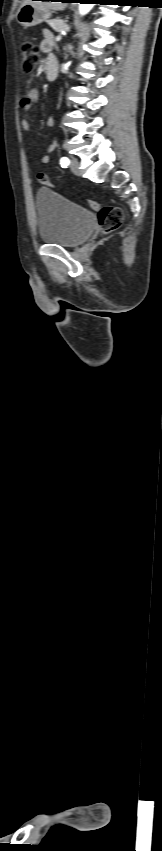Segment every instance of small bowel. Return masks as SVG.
I'll list each match as a JSON object with an SVG mask.
<instances>
[{"mask_svg":"<svg viewBox=\"0 0 162 851\" xmlns=\"http://www.w3.org/2000/svg\"><path fill=\"white\" fill-rule=\"evenodd\" d=\"M52 46H53V38H52V35H51V33H50V32L45 31V33H44V39H43V40H42V42H41V49H42V51H44V52H49V51L52 49ZM48 58H55V56L50 55ZM48 58H47V59H48ZM47 59H46V60H47ZM55 59H56V58H55ZM37 100H38V91H37L36 89H34V88L29 87V88L27 89V91H26L25 95H24V96H23V98L21 99L20 106H21L22 110H24V111H30V110H31V108H32V106H33V104H34L35 102H37ZM53 123H54V118H53V117L49 118V119L47 120V122H46L47 126H51V125H53ZM21 127H22V129H23L24 131H26V132H29V131H30V121H29V119H28V118H23V119H22V121H21ZM55 147H56V142H55V141H53V142H52V143L48 146L47 151L50 153V152H52V151L55 149ZM41 162H42L43 164H48V163L50 162V157H49V155H47V154H46V155H43V156H42V158H41Z\"/></svg>","mask_w":162,"mask_h":851,"instance_id":"small-bowel-1","label":"small bowel"}]
</instances>
